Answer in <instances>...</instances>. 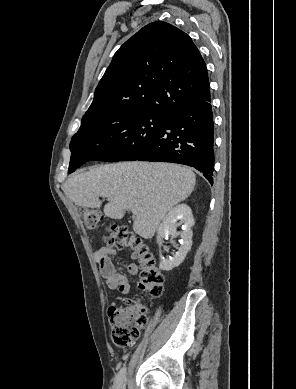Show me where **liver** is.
<instances>
[{
	"instance_id": "obj_1",
	"label": "liver",
	"mask_w": 296,
	"mask_h": 389,
	"mask_svg": "<svg viewBox=\"0 0 296 389\" xmlns=\"http://www.w3.org/2000/svg\"><path fill=\"white\" fill-rule=\"evenodd\" d=\"M196 176L187 167L171 163L124 162L91 168L63 184L65 195L84 208H99L105 197V216L122 219L136 210L133 230L151 239L173 206L192 193Z\"/></svg>"
}]
</instances>
